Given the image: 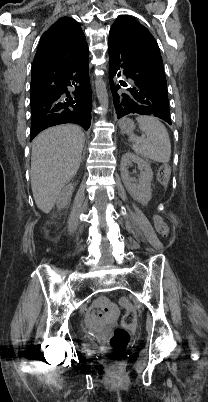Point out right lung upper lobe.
Here are the masks:
<instances>
[{
	"label": "right lung upper lobe",
	"mask_w": 208,
	"mask_h": 402,
	"mask_svg": "<svg viewBox=\"0 0 208 402\" xmlns=\"http://www.w3.org/2000/svg\"><path fill=\"white\" fill-rule=\"evenodd\" d=\"M86 42L78 22L58 19L41 37L32 65L55 62L75 53Z\"/></svg>",
	"instance_id": "obj_1"
}]
</instances>
